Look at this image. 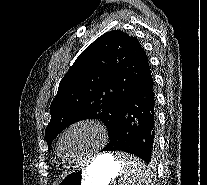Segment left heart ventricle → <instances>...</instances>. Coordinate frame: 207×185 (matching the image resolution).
<instances>
[{"instance_id":"b2bd125f","label":"left heart ventricle","mask_w":207,"mask_h":185,"mask_svg":"<svg viewBox=\"0 0 207 185\" xmlns=\"http://www.w3.org/2000/svg\"><path fill=\"white\" fill-rule=\"evenodd\" d=\"M104 141L97 130L91 126L72 129L62 142V152L69 160L82 158L99 149Z\"/></svg>"}]
</instances>
